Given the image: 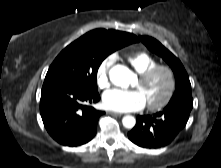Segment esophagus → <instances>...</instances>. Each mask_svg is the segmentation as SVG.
Here are the masks:
<instances>
[{
	"mask_svg": "<svg viewBox=\"0 0 221 168\" xmlns=\"http://www.w3.org/2000/svg\"><path fill=\"white\" fill-rule=\"evenodd\" d=\"M110 114L114 115V116H122L121 113H118V112H109Z\"/></svg>",
	"mask_w": 221,
	"mask_h": 168,
	"instance_id": "esophagus-1",
	"label": "esophagus"
}]
</instances>
